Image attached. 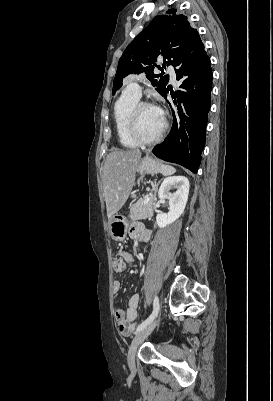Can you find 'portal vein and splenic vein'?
<instances>
[{"mask_svg": "<svg viewBox=\"0 0 273 401\" xmlns=\"http://www.w3.org/2000/svg\"><path fill=\"white\" fill-rule=\"evenodd\" d=\"M149 202H150V196H146L144 205H147V203H149Z\"/></svg>", "mask_w": 273, "mask_h": 401, "instance_id": "obj_1", "label": "portal vein and splenic vein"}]
</instances>
